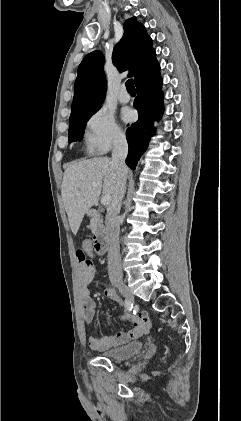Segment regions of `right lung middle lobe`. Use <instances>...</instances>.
<instances>
[{
	"label": "right lung middle lobe",
	"instance_id": "obj_1",
	"mask_svg": "<svg viewBox=\"0 0 241 421\" xmlns=\"http://www.w3.org/2000/svg\"><path fill=\"white\" fill-rule=\"evenodd\" d=\"M92 115L89 114L69 120V143L82 140L86 123Z\"/></svg>",
	"mask_w": 241,
	"mask_h": 421
}]
</instances>
